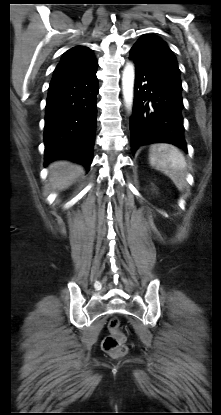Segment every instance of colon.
I'll use <instances>...</instances> for the list:
<instances>
[{
    "mask_svg": "<svg viewBox=\"0 0 221 415\" xmlns=\"http://www.w3.org/2000/svg\"><path fill=\"white\" fill-rule=\"evenodd\" d=\"M110 335L105 337L102 342L103 350L112 356H122L127 348L124 345V335L119 330V320L112 318L108 323Z\"/></svg>",
    "mask_w": 221,
    "mask_h": 415,
    "instance_id": "colon-1",
    "label": "colon"
}]
</instances>
